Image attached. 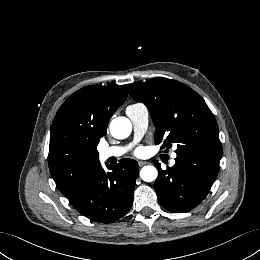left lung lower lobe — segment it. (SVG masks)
<instances>
[{"instance_id":"1","label":"left lung lower lobe","mask_w":260,"mask_h":260,"mask_svg":"<svg viewBox=\"0 0 260 260\" xmlns=\"http://www.w3.org/2000/svg\"><path fill=\"white\" fill-rule=\"evenodd\" d=\"M218 155L183 152L177 154L173 167L162 170L155 162L158 177L154 183L160 204L175 213L196 207L209 193L219 169Z\"/></svg>"}]
</instances>
